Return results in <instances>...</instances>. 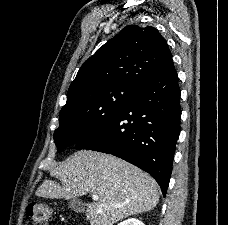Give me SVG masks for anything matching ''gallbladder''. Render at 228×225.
Wrapping results in <instances>:
<instances>
[{
    "mask_svg": "<svg viewBox=\"0 0 228 225\" xmlns=\"http://www.w3.org/2000/svg\"><path fill=\"white\" fill-rule=\"evenodd\" d=\"M69 209H72V211H75V213H82V211H85V205L82 203L81 199H70L68 203Z\"/></svg>",
    "mask_w": 228,
    "mask_h": 225,
    "instance_id": "bac80fb5",
    "label": "gallbladder"
}]
</instances>
